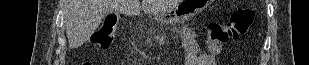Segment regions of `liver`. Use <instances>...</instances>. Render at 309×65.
<instances>
[{
    "instance_id": "liver-1",
    "label": "liver",
    "mask_w": 309,
    "mask_h": 65,
    "mask_svg": "<svg viewBox=\"0 0 309 65\" xmlns=\"http://www.w3.org/2000/svg\"><path fill=\"white\" fill-rule=\"evenodd\" d=\"M176 0H64V23L70 48H78L97 30L110 11L129 16L144 13L157 15L174 8Z\"/></svg>"
}]
</instances>
